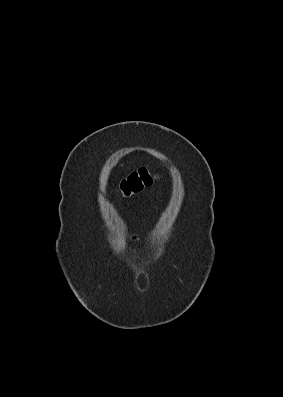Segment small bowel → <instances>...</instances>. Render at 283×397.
Wrapping results in <instances>:
<instances>
[{"label":"small bowel","mask_w":283,"mask_h":397,"mask_svg":"<svg viewBox=\"0 0 283 397\" xmlns=\"http://www.w3.org/2000/svg\"><path fill=\"white\" fill-rule=\"evenodd\" d=\"M129 240L133 243L137 244V247L133 250L134 257H137L138 252L144 248V244L142 243L141 238L137 234L129 235Z\"/></svg>","instance_id":"obj_1"}]
</instances>
